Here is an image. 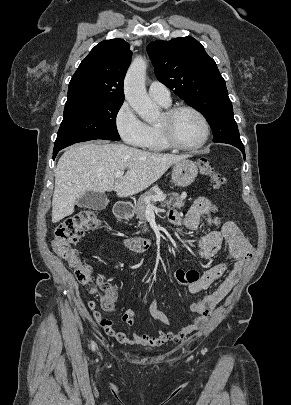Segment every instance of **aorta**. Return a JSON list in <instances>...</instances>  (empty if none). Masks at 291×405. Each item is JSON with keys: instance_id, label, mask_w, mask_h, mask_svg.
<instances>
[{"instance_id": "762f6f07", "label": "aorta", "mask_w": 291, "mask_h": 405, "mask_svg": "<svg viewBox=\"0 0 291 405\" xmlns=\"http://www.w3.org/2000/svg\"><path fill=\"white\" fill-rule=\"evenodd\" d=\"M147 63L136 57L131 63L124 81L125 99L132 109L145 121L151 122L159 116L158 106L149 98L145 88Z\"/></svg>"}]
</instances>
